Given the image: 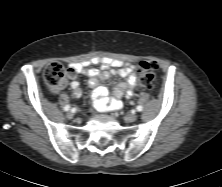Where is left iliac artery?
<instances>
[{"mask_svg": "<svg viewBox=\"0 0 222 187\" xmlns=\"http://www.w3.org/2000/svg\"><path fill=\"white\" fill-rule=\"evenodd\" d=\"M136 109H137V111H139V112H140V111H142V110H143V107L139 105V106H137V108H136Z\"/></svg>", "mask_w": 222, "mask_h": 187, "instance_id": "left-iliac-artery-1", "label": "left iliac artery"}]
</instances>
